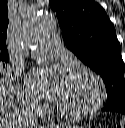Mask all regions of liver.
I'll return each instance as SVG.
<instances>
[{
    "label": "liver",
    "mask_w": 125,
    "mask_h": 128,
    "mask_svg": "<svg viewBox=\"0 0 125 128\" xmlns=\"http://www.w3.org/2000/svg\"><path fill=\"white\" fill-rule=\"evenodd\" d=\"M11 78L0 63V128H20L24 120L14 104Z\"/></svg>",
    "instance_id": "obj_1"
}]
</instances>
